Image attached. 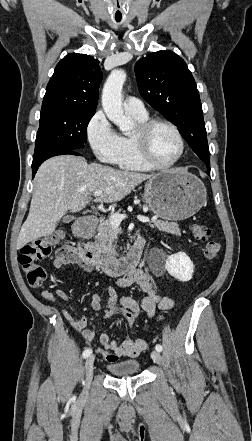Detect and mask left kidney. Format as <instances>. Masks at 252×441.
I'll return each instance as SVG.
<instances>
[{
  "mask_svg": "<svg viewBox=\"0 0 252 441\" xmlns=\"http://www.w3.org/2000/svg\"><path fill=\"white\" fill-rule=\"evenodd\" d=\"M165 268L171 276L181 282L191 280L194 272V265L185 252L168 256Z\"/></svg>",
  "mask_w": 252,
  "mask_h": 441,
  "instance_id": "left-kidney-1",
  "label": "left kidney"
}]
</instances>
